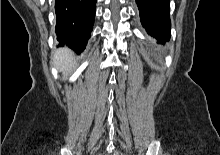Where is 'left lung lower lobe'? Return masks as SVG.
I'll use <instances>...</instances> for the list:
<instances>
[{
  "mask_svg": "<svg viewBox=\"0 0 220 155\" xmlns=\"http://www.w3.org/2000/svg\"><path fill=\"white\" fill-rule=\"evenodd\" d=\"M169 0H136L140 19L147 33L159 43L170 39Z\"/></svg>",
  "mask_w": 220,
  "mask_h": 155,
  "instance_id": "0a47b994",
  "label": "left lung lower lobe"
}]
</instances>
